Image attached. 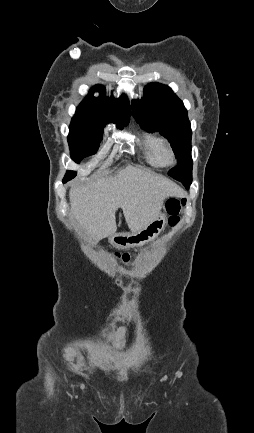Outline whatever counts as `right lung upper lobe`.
Instances as JSON below:
<instances>
[{
  "mask_svg": "<svg viewBox=\"0 0 254 433\" xmlns=\"http://www.w3.org/2000/svg\"><path fill=\"white\" fill-rule=\"evenodd\" d=\"M94 91H99L101 95L99 97H93L91 94L88 95L77 109L104 112L109 116L111 121L116 123L129 120L131 115L130 105L125 95L119 99H115L113 96L107 98L105 88L100 85L93 87L90 92L93 93Z\"/></svg>",
  "mask_w": 254,
  "mask_h": 433,
  "instance_id": "right-lung-upper-lobe-1",
  "label": "right lung upper lobe"
}]
</instances>
